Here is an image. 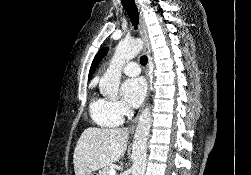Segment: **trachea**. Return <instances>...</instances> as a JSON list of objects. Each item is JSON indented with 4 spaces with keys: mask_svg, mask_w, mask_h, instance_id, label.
I'll use <instances>...</instances> for the list:
<instances>
[{
    "mask_svg": "<svg viewBox=\"0 0 251 175\" xmlns=\"http://www.w3.org/2000/svg\"><path fill=\"white\" fill-rule=\"evenodd\" d=\"M122 5H123L124 10L127 12L129 16L130 21L132 22V25L136 28L138 26L139 14H138V10H137L134 0H122ZM147 61L148 59L145 55H143L140 58V63L142 65H146Z\"/></svg>",
    "mask_w": 251,
    "mask_h": 175,
    "instance_id": "1",
    "label": "trachea"
}]
</instances>
